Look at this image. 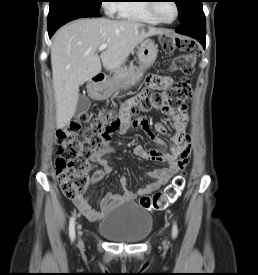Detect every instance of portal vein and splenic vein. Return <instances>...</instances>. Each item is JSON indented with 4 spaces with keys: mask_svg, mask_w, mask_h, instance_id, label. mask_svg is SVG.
Returning <instances> with one entry per match:
<instances>
[{
    "mask_svg": "<svg viewBox=\"0 0 258 275\" xmlns=\"http://www.w3.org/2000/svg\"><path fill=\"white\" fill-rule=\"evenodd\" d=\"M107 48V44H102L100 45V47L98 48V51H103Z\"/></svg>",
    "mask_w": 258,
    "mask_h": 275,
    "instance_id": "obj_1",
    "label": "portal vein and splenic vein"
}]
</instances>
